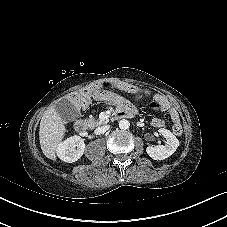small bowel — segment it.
Instances as JSON below:
<instances>
[{
    "instance_id": "c3829d8e",
    "label": "small bowel",
    "mask_w": 227,
    "mask_h": 227,
    "mask_svg": "<svg viewBox=\"0 0 227 227\" xmlns=\"http://www.w3.org/2000/svg\"><path fill=\"white\" fill-rule=\"evenodd\" d=\"M110 100H113L117 105L118 111L131 114L135 112V109L127 102V100L122 97H113L109 93H105L99 97V101L102 102H107ZM159 108L163 111L169 110L173 124L179 123L178 112L169 103L163 102ZM151 125L157 129H162L166 126V122L162 118L154 117L151 119Z\"/></svg>"
}]
</instances>
